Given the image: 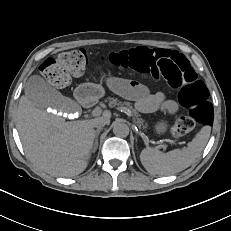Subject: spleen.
Wrapping results in <instances>:
<instances>
[{"label":"spleen","instance_id":"3e777b00","mask_svg":"<svg viewBox=\"0 0 231 231\" xmlns=\"http://www.w3.org/2000/svg\"><path fill=\"white\" fill-rule=\"evenodd\" d=\"M211 128L204 126L188 143L187 147L161 153L154 148H145L140 154L144 168L152 175L168 176L188 168L205 148Z\"/></svg>","mask_w":231,"mask_h":231}]
</instances>
